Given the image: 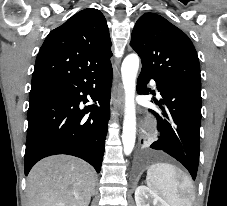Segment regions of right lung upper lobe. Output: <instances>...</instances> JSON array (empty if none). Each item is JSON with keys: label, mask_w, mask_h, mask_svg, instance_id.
I'll return each instance as SVG.
<instances>
[{"label": "right lung upper lobe", "mask_w": 227, "mask_h": 206, "mask_svg": "<svg viewBox=\"0 0 227 206\" xmlns=\"http://www.w3.org/2000/svg\"><path fill=\"white\" fill-rule=\"evenodd\" d=\"M111 40L104 15L84 9L46 37L36 58L32 84L58 82L110 64Z\"/></svg>", "instance_id": "cb5924a9"}]
</instances>
